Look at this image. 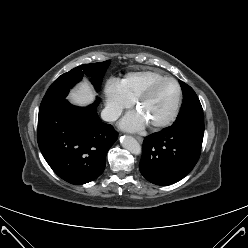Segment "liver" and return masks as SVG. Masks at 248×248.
I'll list each match as a JSON object with an SVG mask.
<instances>
[{
  "label": "liver",
  "instance_id": "obj_1",
  "mask_svg": "<svg viewBox=\"0 0 248 248\" xmlns=\"http://www.w3.org/2000/svg\"><path fill=\"white\" fill-rule=\"evenodd\" d=\"M70 99L74 104L86 105L93 101L94 91L87 82H82L71 91Z\"/></svg>",
  "mask_w": 248,
  "mask_h": 248
}]
</instances>
